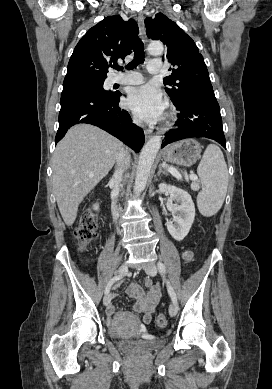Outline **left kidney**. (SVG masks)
Listing matches in <instances>:
<instances>
[{"label": "left kidney", "mask_w": 272, "mask_h": 389, "mask_svg": "<svg viewBox=\"0 0 272 389\" xmlns=\"http://www.w3.org/2000/svg\"><path fill=\"white\" fill-rule=\"evenodd\" d=\"M159 191L161 193L168 192L170 195L167 209L174 213V216L173 221L167 222V229L175 240L181 241L189 233L195 218L193 200L185 190L165 183L159 184ZM173 201H176L178 204H173Z\"/></svg>", "instance_id": "obj_1"}]
</instances>
